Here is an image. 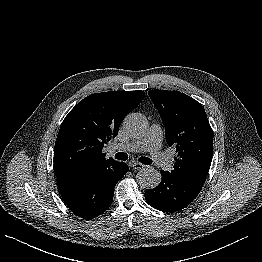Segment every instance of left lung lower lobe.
Here are the masks:
<instances>
[{
  "label": "left lung lower lobe",
  "mask_w": 262,
  "mask_h": 262,
  "mask_svg": "<svg viewBox=\"0 0 262 262\" xmlns=\"http://www.w3.org/2000/svg\"><path fill=\"white\" fill-rule=\"evenodd\" d=\"M160 184L145 191V199L155 209L176 212L186 208L199 194L202 186L191 183L170 172L161 171Z\"/></svg>",
  "instance_id": "left-lung-lower-lobe-1"
}]
</instances>
